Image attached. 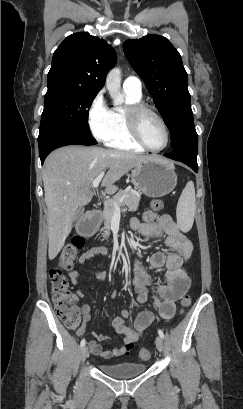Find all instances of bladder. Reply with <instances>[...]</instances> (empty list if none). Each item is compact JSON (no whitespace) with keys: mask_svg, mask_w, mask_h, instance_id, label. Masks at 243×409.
Listing matches in <instances>:
<instances>
[{"mask_svg":"<svg viewBox=\"0 0 243 409\" xmlns=\"http://www.w3.org/2000/svg\"><path fill=\"white\" fill-rule=\"evenodd\" d=\"M98 366L103 374L116 379H129L139 376L147 368L146 364H139L133 361L99 363Z\"/></svg>","mask_w":243,"mask_h":409,"instance_id":"1","label":"bladder"}]
</instances>
